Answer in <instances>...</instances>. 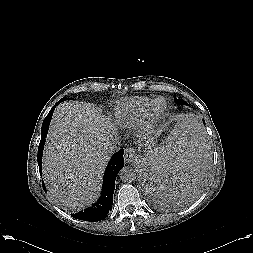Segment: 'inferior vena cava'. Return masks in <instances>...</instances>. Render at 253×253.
Segmentation results:
<instances>
[{"mask_svg":"<svg viewBox=\"0 0 253 253\" xmlns=\"http://www.w3.org/2000/svg\"><path fill=\"white\" fill-rule=\"evenodd\" d=\"M120 145H121L120 141H115L112 139L106 144L105 149L109 153H114L120 149Z\"/></svg>","mask_w":253,"mask_h":253,"instance_id":"inferior-vena-cava-1","label":"inferior vena cava"}]
</instances>
